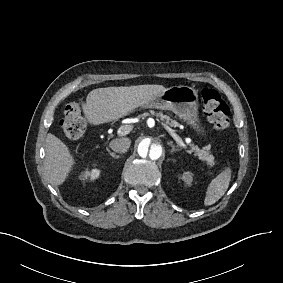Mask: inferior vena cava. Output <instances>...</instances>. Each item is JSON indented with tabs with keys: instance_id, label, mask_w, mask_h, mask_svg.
Listing matches in <instances>:
<instances>
[{
	"instance_id": "inferior-vena-cava-1",
	"label": "inferior vena cava",
	"mask_w": 283,
	"mask_h": 283,
	"mask_svg": "<svg viewBox=\"0 0 283 283\" xmlns=\"http://www.w3.org/2000/svg\"><path fill=\"white\" fill-rule=\"evenodd\" d=\"M131 145V141L128 138H121L111 141L110 148L117 153H126Z\"/></svg>"
}]
</instances>
